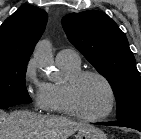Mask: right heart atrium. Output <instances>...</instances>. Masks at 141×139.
Returning a JSON list of instances; mask_svg holds the SVG:
<instances>
[{"label": "right heart atrium", "instance_id": "d8ad5b80", "mask_svg": "<svg viewBox=\"0 0 141 139\" xmlns=\"http://www.w3.org/2000/svg\"><path fill=\"white\" fill-rule=\"evenodd\" d=\"M25 90L38 111L49 110L46 83L42 82L37 75L34 60H29L23 72Z\"/></svg>", "mask_w": 141, "mask_h": 139}]
</instances>
